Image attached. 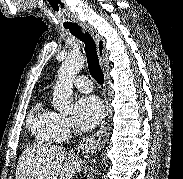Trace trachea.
<instances>
[{
  "label": "trachea",
  "mask_w": 183,
  "mask_h": 179,
  "mask_svg": "<svg viewBox=\"0 0 183 179\" xmlns=\"http://www.w3.org/2000/svg\"><path fill=\"white\" fill-rule=\"evenodd\" d=\"M64 27L69 29L72 35L77 37L85 44V52L87 56L89 72L92 77L102 85L104 83V74L100 67L94 39L88 32L84 34L77 24L72 22H65Z\"/></svg>",
  "instance_id": "3493384b"
}]
</instances>
